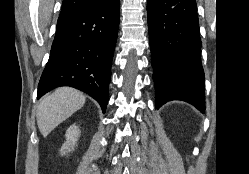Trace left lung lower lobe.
<instances>
[{"label": "left lung lower lobe", "mask_w": 249, "mask_h": 174, "mask_svg": "<svg viewBox=\"0 0 249 174\" xmlns=\"http://www.w3.org/2000/svg\"><path fill=\"white\" fill-rule=\"evenodd\" d=\"M156 108L186 101L202 113L204 71L196 0H147Z\"/></svg>", "instance_id": "1"}]
</instances>
